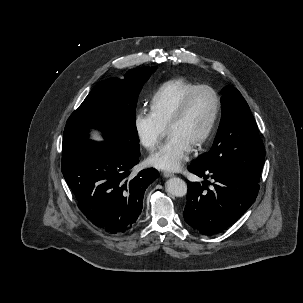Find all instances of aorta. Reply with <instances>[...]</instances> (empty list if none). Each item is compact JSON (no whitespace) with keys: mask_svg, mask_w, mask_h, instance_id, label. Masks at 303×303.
<instances>
[{"mask_svg":"<svg viewBox=\"0 0 303 303\" xmlns=\"http://www.w3.org/2000/svg\"><path fill=\"white\" fill-rule=\"evenodd\" d=\"M165 187L169 194L176 197H183L187 194V184L177 177L167 180Z\"/></svg>","mask_w":303,"mask_h":303,"instance_id":"1","label":"aorta"}]
</instances>
